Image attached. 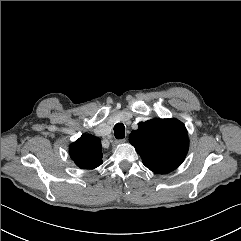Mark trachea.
<instances>
[{"label":"trachea","mask_w":241,"mask_h":241,"mask_svg":"<svg viewBox=\"0 0 241 241\" xmlns=\"http://www.w3.org/2000/svg\"><path fill=\"white\" fill-rule=\"evenodd\" d=\"M114 135L117 139H123L125 137V126L122 123H117L114 126Z\"/></svg>","instance_id":"3493384b"}]
</instances>
